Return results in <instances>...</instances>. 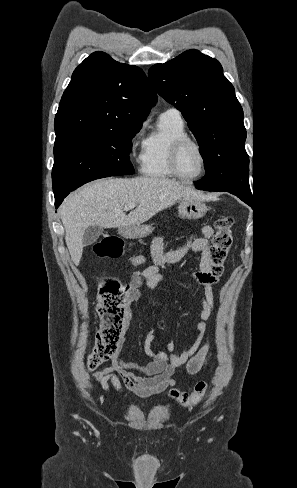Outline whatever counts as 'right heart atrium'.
I'll return each instance as SVG.
<instances>
[{"instance_id":"right-heart-atrium-1","label":"right heart atrium","mask_w":297,"mask_h":488,"mask_svg":"<svg viewBox=\"0 0 297 488\" xmlns=\"http://www.w3.org/2000/svg\"><path fill=\"white\" fill-rule=\"evenodd\" d=\"M142 134V127L138 128L132 135L130 140V152L132 155H136L140 150V146L143 147V143H140V138Z\"/></svg>"}]
</instances>
